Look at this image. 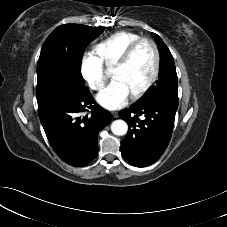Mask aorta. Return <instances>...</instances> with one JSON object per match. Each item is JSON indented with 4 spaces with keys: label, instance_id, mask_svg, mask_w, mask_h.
I'll use <instances>...</instances> for the list:
<instances>
[{
    "label": "aorta",
    "instance_id": "1",
    "mask_svg": "<svg viewBox=\"0 0 227 227\" xmlns=\"http://www.w3.org/2000/svg\"><path fill=\"white\" fill-rule=\"evenodd\" d=\"M111 131L117 136H123L128 131V125L124 120H115L111 124Z\"/></svg>",
    "mask_w": 227,
    "mask_h": 227
}]
</instances>
